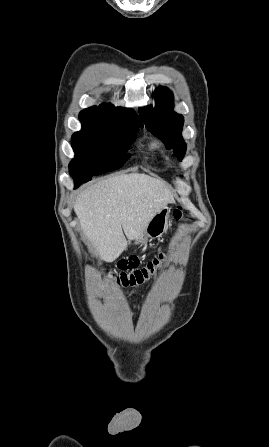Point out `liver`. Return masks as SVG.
I'll use <instances>...</instances> for the list:
<instances>
[{
	"label": "liver",
	"instance_id": "obj_1",
	"mask_svg": "<svg viewBox=\"0 0 269 447\" xmlns=\"http://www.w3.org/2000/svg\"><path fill=\"white\" fill-rule=\"evenodd\" d=\"M173 202L162 180L146 174H120L83 190L74 212L98 257L114 261L126 249L127 239H137L153 216Z\"/></svg>",
	"mask_w": 269,
	"mask_h": 447
}]
</instances>
